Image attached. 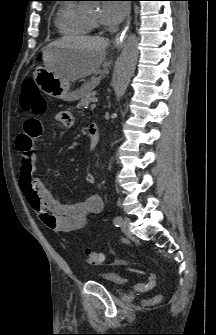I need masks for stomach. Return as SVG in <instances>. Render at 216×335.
Here are the masks:
<instances>
[{
    "label": "stomach",
    "instance_id": "1",
    "mask_svg": "<svg viewBox=\"0 0 216 335\" xmlns=\"http://www.w3.org/2000/svg\"><path fill=\"white\" fill-rule=\"evenodd\" d=\"M76 53L73 48L50 45L43 48L44 66L36 69L34 80L45 94L69 102L83 96V88L70 91V80L61 74Z\"/></svg>",
    "mask_w": 216,
    "mask_h": 335
}]
</instances>
